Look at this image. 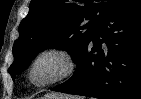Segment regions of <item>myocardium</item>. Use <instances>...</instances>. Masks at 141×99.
<instances>
[{"label": "myocardium", "mask_w": 141, "mask_h": 99, "mask_svg": "<svg viewBox=\"0 0 141 99\" xmlns=\"http://www.w3.org/2000/svg\"><path fill=\"white\" fill-rule=\"evenodd\" d=\"M51 55L58 56L64 60V62L66 64L65 71L60 76H58L48 82L40 83V84L35 83L32 79V72H33L36 64L42 58H44L46 56H51ZM76 68H77L76 58L71 50H69L65 47H52V48H48V49L41 51L33 58V60L31 61L30 65L27 69V79L30 82V84H32L36 88H47V87L53 86L55 84L61 83L65 80H67L68 78H70L75 73Z\"/></svg>", "instance_id": "myocardium-1"}]
</instances>
